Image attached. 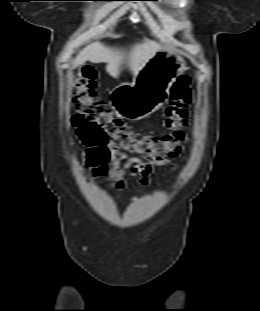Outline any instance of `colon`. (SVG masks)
I'll list each match as a JSON object with an SVG mask.
<instances>
[{
  "mask_svg": "<svg viewBox=\"0 0 260 311\" xmlns=\"http://www.w3.org/2000/svg\"><path fill=\"white\" fill-rule=\"evenodd\" d=\"M96 84L97 71L90 66L82 68L73 81L76 112L72 123L87 148V165L96 169L105 166L109 145L144 160L163 161L181 153L187 139V107L191 99L189 77L178 78L172 86L170 101L164 109V123L170 133L161 136L138 135L128 124L116 118L105 102L96 97Z\"/></svg>",
  "mask_w": 260,
  "mask_h": 311,
  "instance_id": "5ec220e1",
  "label": "colon"
}]
</instances>
